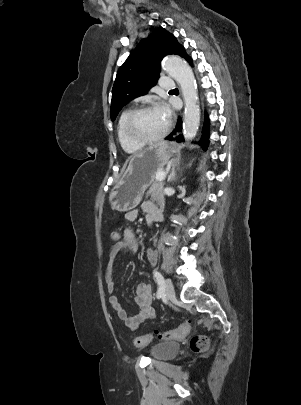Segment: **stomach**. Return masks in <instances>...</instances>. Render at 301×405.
Returning a JSON list of instances; mask_svg holds the SVG:
<instances>
[{"label":"stomach","instance_id":"obj_1","mask_svg":"<svg viewBox=\"0 0 301 405\" xmlns=\"http://www.w3.org/2000/svg\"><path fill=\"white\" fill-rule=\"evenodd\" d=\"M176 151L174 144L162 141L134 155L110 192L112 208L120 212L134 209L141 202L145 190L154 183L157 171L163 169Z\"/></svg>","mask_w":301,"mask_h":405}]
</instances>
